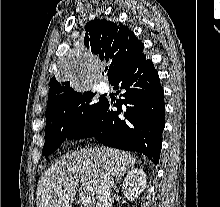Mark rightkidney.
I'll return each instance as SVG.
<instances>
[{
	"instance_id": "obj_1",
	"label": "right kidney",
	"mask_w": 220,
	"mask_h": 207,
	"mask_svg": "<svg viewBox=\"0 0 220 207\" xmlns=\"http://www.w3.org/2000/svg\"><path fill=\"white\" fill-rule=\"evenodd\" d=\"M145 186L146 173L142 169H132L124 179L122 192L127 199L134 201L139 198Z\"/></svg>"
}]
</instances>
